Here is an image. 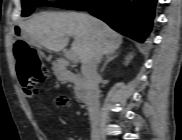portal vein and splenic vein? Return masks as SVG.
Listing matches in <instances>:
<instances>
[{
    "mask_svg": "<svg viewBox=\"0 0 182 140\" xmlns=\"http://www.w3.org/2000/svg\"><path fill=\"white\" fill-rule=\"evenodd\" d=\"M65 57H66V59L71 60V61H74V62H77L78 61L77 56H76V54L74 53L73 50L67 51L65 53Z\"/></svg>",
    "mask_w": 182,
    "mask_h": 140,
    "instance_id": "portal-vein-and-splenic-vein-1",
    "label": "portal vein and splenic vein"
}]
</instances>
